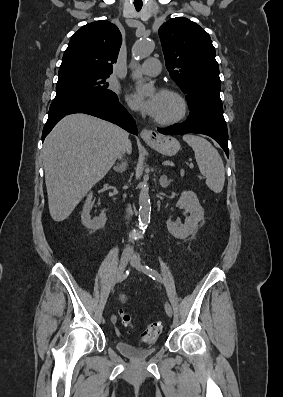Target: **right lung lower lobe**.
<instances>
[{"mask_svg": "<svg viewBox=\"0 0 283 397\" xmlns=\"http://www.w3.org/2000/svg\"><path fill=\"white\" fill-rule=\"evenodd\" d=\"M73 113H85L117 124L135 135L138 134L133 118L118 101H107L83 94L55 97L49 109L48 120L42 133V141L63 117Z\"/></svg>", "mask_w": 283, "mask_h": 397, "instance_id": "right-lung-lower-lobe-1", "label": "right lung lower lobe"}]
</instances>
